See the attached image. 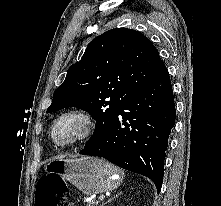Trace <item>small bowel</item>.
Segmentation results:
<instances>
[{"label":"small bowel","instance_id":"c3829d8e","mask_svg":"<svg viewBox=\"0 0 221 206\" xmlns=\"http://www.w3.org/2000/svg\"><path fill=\"white\" fill-rule=\"evenodd\" d=\"M68 206H75L73 203H68Z\"/></svg>","mask_w":221,"mask_h":206}]
</instances>
